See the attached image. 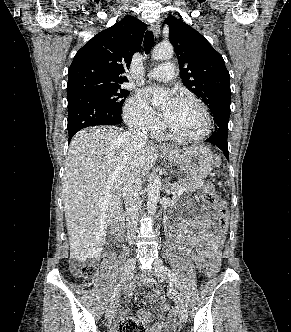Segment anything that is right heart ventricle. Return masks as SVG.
<instances>
[{"mask_svg": "<svg viewBox=\"0 0 291 332\" xmlns=\"http://www.w3.org/2000/svg\"><path fill=\"white\" fill-rule=\"evenodd\" d=\"M153 133H154V135L157 136V137H162V136H163V134H162L160 131H155V132H153Z\"/></svg>", "mask_w": 291, "mask_h": 332, "instance_id": "e07e8e85", "label": "right heart ventricle"}]
</instances>
